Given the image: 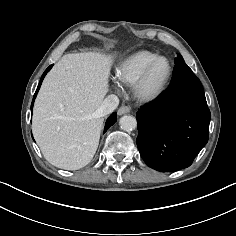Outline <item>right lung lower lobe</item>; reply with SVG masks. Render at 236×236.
<instances>
[{"mask_svg":"<svg viewBox=\"0 0 236 236\" xmlns=\"http://www.w3.org/2000/svg\"><path fill=\"white\" fill-rule=\"evenodd\" d=\"M52 66H53V65L49 66V67L45 70V72L43 73V75H42V77H41V80H40V83H39V85H38V87H37V90H36V92H35V95H34V98H33V102H32V105H31V108L33 107V103H34L35 97H36V95H37V93H38V90H39V88H40V86H41V83H42V81H43L45 75L47 74V72L52 68ZM116 120H117L116 112H114V113H112V115L108 118V120H107V122H106V124H105L104 132H106L107 129H108L110 126H112V125L116 122Z\"/></svg>","mask_w":236,"mask_h":236,"instance_id":"98d812e1","label":"right lung lower lobe"}]
</instances>
